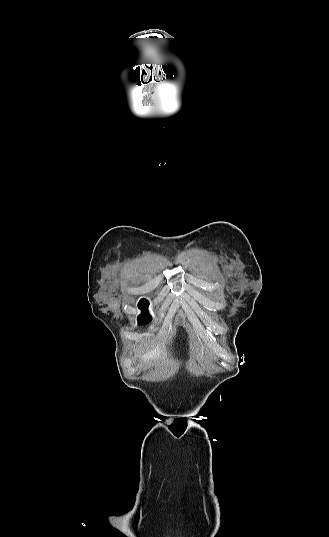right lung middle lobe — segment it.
I'll return each mask as SVG.
<instances>
[{"label": "right lung middle lobe", "instance_id": "dd1d6c3e", "mask_svg": "<svg viewBox=\"0 0 329 537\" xmlns=\"http://www.w3.org/2000/svg\"><path fill=\"white\" fill-rule=\"evenodd\" d=\"M149 303L146 299H143L139 302V308L142 309V310H146L147 307H148ZM151 320V316L149 314H147L146 312L142 313L139 317H138V322L139 324H143V323H147Z\"/></svg>", "mask_w": 329, "mask_h": 537}]
</instances>
